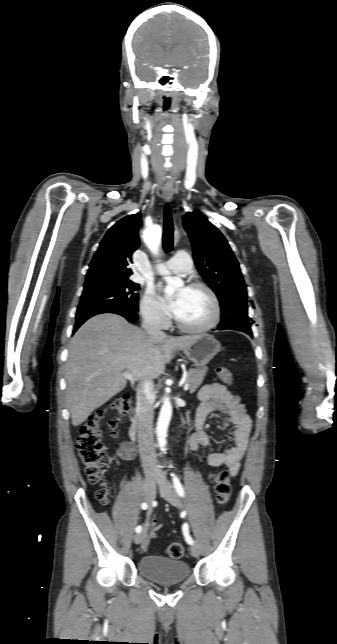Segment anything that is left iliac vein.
<instances>
[{
  "mask_svg": "<svg viewBox=\"0 0 337 644\" xmlns=\"http://www.w3.org/2000/svg\"><path fill=\"white\" fill-rule=\"evenodd\" d=\"M159 489L161 495L164 497L165 500H167L170 504H172L175 507H182V501L177 494L176 490L172 486V484L165 478L163 477L160 482H159ZM190 552L192 556L198 557L200 554L199 546L197 544H193L190 547Z\"/></svg>",
  "mask_w": 337,
  "mask_h": 644,
  "instance_id": "left-iliac-vein-1",
  "label": "left iliac vein"
}]
</instances>
